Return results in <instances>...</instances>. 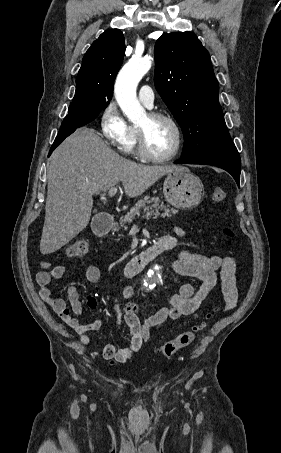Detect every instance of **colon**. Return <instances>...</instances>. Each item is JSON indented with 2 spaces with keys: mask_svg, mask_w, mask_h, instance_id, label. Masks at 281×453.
<instances>
[{
  "mask_svg": "<svg viewBox=\"0 0 281 453\" xmlns=\"http://www.w3.org/2000/svg\"><path fill=\"white\" fill-rule=\"evenodd\" d=\"M227 196V190L223 187H218L210 194V200L214 204H222ZM223 233L231 234L229 228H224ZM65 255L69 258L84 259L89 250L88 242L84 238H75L69 241L65 247ZM211 319V314L196 324L189 332L179 334L174 340L166 342L162 345L160 352L164 359H169L175 355L178 350L186 349L191 346L199 335L206 329L208 322Z\"/></svg>",
  "mask_w": 281,
  "mask_h": 453,
  "instance_id": "obj_1",
  "label": "colon"
}]
</instances>
